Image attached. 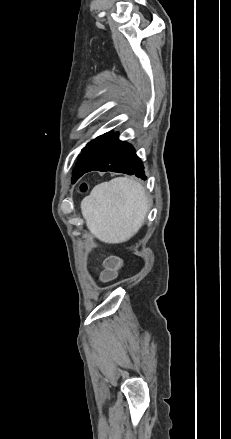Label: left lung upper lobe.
<instances>
[{"label": "left lung upper lobe", "mask_w": 231, "mask_h": 439, "mask_svg": "<svg viewBox=\"0 0 231 439\" xmlns=\"http://www.w3.org/2000/svg\"><path fill=\"white\" fill-rule=\"evenodd\" d=\"M112 135V132L105 133L93 140H91L81 151V155L78 158V163L73 170L72 182L75 183L82 173L91 165L97 156L99 150L104 143Z\"/></svg>", "instance_id": "left-lung-upper-lobe-1"}]
</instances>
